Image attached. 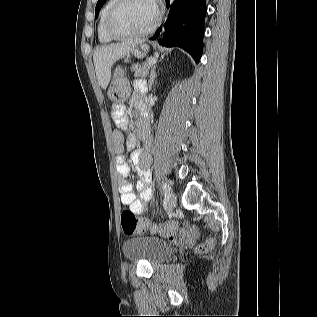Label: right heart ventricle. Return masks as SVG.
I'll return each instance as SVG.
<instances>
[{
    "label": "right heart ventricle",
    "mask_w": 317,
    "mask_h": 317,
    "mask_svg": "<svg viewBox=\"0 0 317 317\" xmlns=\"http://www.w3.org/2000/svg\"><path fill=\"white\" fill-rule=\"evenodd\" d=\"M115 0H107L105 5L103 6L101 12H100V17H99V22H98V38L102 43H109L113 41L114 38L110 37L108 33L106 32V17L107 14L111 8V6L114 4Z\"/></svg>",
    "instance_id": "1"
}]
</instances>
